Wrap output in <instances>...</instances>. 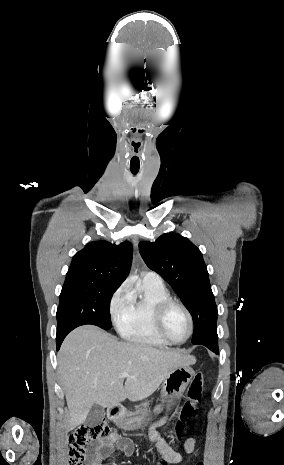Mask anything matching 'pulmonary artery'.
Returning <instances> with one entry per match:
<instances>
[{
	"label": "pulmonary artery",
	"mask_w": 284,
	"mask_h": 465,
	"mask_svg": "<svg viewBox=\"0 0 284 465\" xmlns=\"http://www.w3.org/2000/svg\"><path fill=\"white\" fill-rule=\"evenodd\" d=\"M141 277L148 282H163L161 276L153 271H142Z\"/></svg>",
	"instance_id": "pulmonary-artery-1"
}]
</instances>
